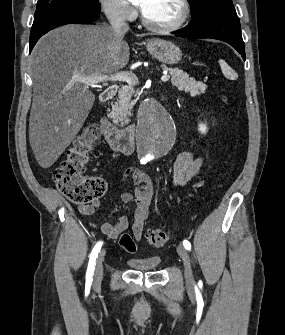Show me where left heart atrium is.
<instances>
[{"label": "left heart atrium", "mask_w": 285, "mask_h": 335, "mask_svg": "<svg viewBox=\"0 0 285 335\" xmlns=\"http://www.w3.org/2000/svg\"><path fill=\"white\" fill-rule=\"evenodd\" d=\"M135 3L139 6L141 12L143 13L146 5V1H135Z\"/></svg>", "instance_id": "obj_1"}]
</instances>
